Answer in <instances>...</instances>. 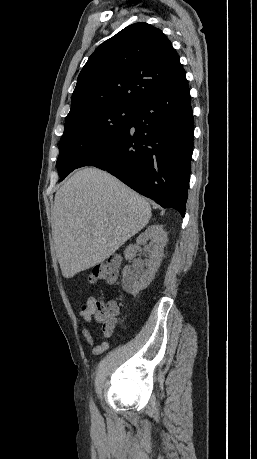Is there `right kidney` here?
<instances>
[{"label": "right kidney", "mask_w": 257, "mask_h": 459, "mask_svg": "<svg viewBox=\"0 0 257 459\" xmlns=\"http://www.w3.org/2000/svg\"><path fill=\"white\" fill-rule=\"evenodd\" d=\"M150 240V254L147 261V269L143 265L131 267L126 266L123 269L122 288L129 294L137 295L141 290L147 288L154 279L163 257V250L167 242V233L163 226L154 224L149 226L136 241L135 245H129L124 252L126 260H132L139 248V245L146 244Z\"/></svg>", "instance_id": "ca27d5eb"}]
</instances>
